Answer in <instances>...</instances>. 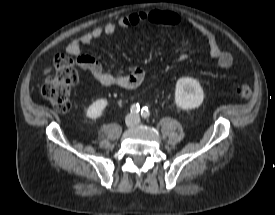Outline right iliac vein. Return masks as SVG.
<instances>
[{
    "label": "right iliac vein",
    "mask_w": 275,
    "mask_h": 215,
    "mask_svg": "<svg viewBox=\"0 0 275 215\" xmlns=\"http://www.w3.org/2000/svg\"><path fill=\"white\" fill-rule=\"evenodd\" d=\"M127 125L128 126H131L132 125V121L129 119V120H127Z\"/></svg>",
    "instance_id": "1"
}]
</instances>
